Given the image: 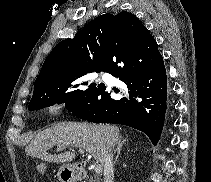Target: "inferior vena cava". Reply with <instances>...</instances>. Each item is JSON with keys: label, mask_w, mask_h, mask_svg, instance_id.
I'll use <instances>...</instances> for the list:
<instances>
[{"label": "inferior vena cava", "mask_w": 211, "mask_h": 182, "mask_svg": "<svg viewBox=\"0 0 211 182\" xmlns=\"http://www.w3.org/2000/svg\"><path fill=\"white\" fill-rule=\"evenodd\" d=\"M104 176H105V181L104 182H113L114 167H113V159H112V154H111V150L110 149H108L105 152Z\"/></svg>", "instance_id": "1"}]
</instances>
